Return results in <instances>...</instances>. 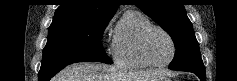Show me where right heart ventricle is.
Masks as SVG:
<instances>
[{"label": "right heart ventricle", "instance_id": "right-heart-ventricle-1", "mask_svg": "<svg viewBox=\"0 0 237 81\" xmlns=\"http://www.w3.org/2000/svg\"><path fill=\"white\" fill-rule=\"evenodd\" d=\"M151 25L149 18L140 11H127L118 24L112 42L116 63L129 68H145L149 65L139 51L142 31Z\"/></svg>", "mask_w": 237, "mask_h": 81}]
</instances>
